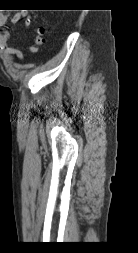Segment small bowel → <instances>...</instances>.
<instances>
[{"mask_svg":"<svg viewBox=\"0 0 138 253\" xmlns=\"http://www.w3.org/2000/svg\"><path fill=\"white\" fill-rule=\"evenodd\" d=\"M9 19V13L7 12H0V28L4 27ZM20 20L24 21V25L29 27L31 25V17L28 16L24 12L16 13L12 18L11 22L13 24L19 22ZM11 41V34L10 31L5 29L0 32V49L4 51V54L7 56H16L19 60L23 59V54L21 51L11 48L9 46ZM30 51H33V47L31 46Z\"/></svg>","mask_w":138,"mask_h":253,"instance_id":"c3829d8e","label":"small bowel"}]
</instances>
